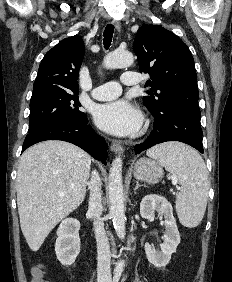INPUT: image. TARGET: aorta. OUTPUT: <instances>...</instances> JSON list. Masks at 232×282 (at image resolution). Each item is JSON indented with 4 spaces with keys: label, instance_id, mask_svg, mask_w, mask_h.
<instances>
[{
    "label": "aorta",
    "instance_id": "aorta-1",
    "mask_svg": "<svg viewBox=\"0 0 232 282\" xmlns=\"http://www.w3.org/2000/svg\"><path fill=\"white\" fill-rule=\"evenodd\" d=\"M133 54L127 50H115L104 59V66L108 69L129 67L133 64ZM109 204L115 231L120 239L125 238V212L122 180V158L116 157L109 171ZM125 262L119 261L115 267L116 273H122Z\"/></svg>",
    "mask_w": 232,
    "mask_h": 282
}]
</instances>
